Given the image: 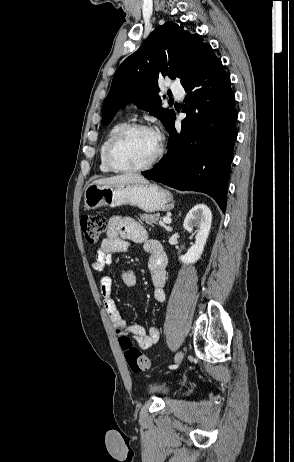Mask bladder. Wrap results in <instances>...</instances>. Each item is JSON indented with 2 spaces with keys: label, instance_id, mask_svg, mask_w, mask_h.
<instances>
[{
  "label": "bladder",
  "instance_id": "31cf9c89",
  "mask_svg": "<svg viewBox=\"0 0 294 462\" xmlns=\"http://www.w3.org/2000/svg\"><path fill=\"white\" fill-rule=\"evenodd\" d=\"M146 393L150 396L166 397L170 393V389L161 382L153 381L147 384Z\"/></svg>",
  "mask_w": 294,
  "mask_h": 462
}]
</instances>
